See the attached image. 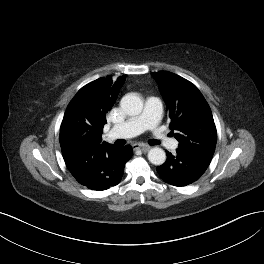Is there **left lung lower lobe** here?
<instances>
[{"label": "left lung lower lobe", "mask_w": 264, "mask_h": 264, "mask_svg": "<svg viewBox=\"0 0 264 264\" xmlns=\"http://www.w3.org/2000/svg\"><path fill=\"white\" fill-rule=\"evenodd\" d=\"M166 162L156 170L162 180L173 186L182 187L197 181L208 168L212 156L186 153L179 149L172 155L166 151Z\"/></svg>", "instance_id": "obj_1"}]
</instances>
